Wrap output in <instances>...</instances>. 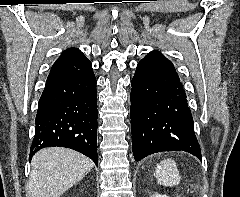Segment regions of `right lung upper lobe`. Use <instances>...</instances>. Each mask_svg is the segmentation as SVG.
I'll use <instances>...</instances> for the list:
<instances>
[{
	"label": "right lung upper lobe",
	"instance_id": "right-lung-upper-lobe-1",
	"mask_svg": "<svg viewBox=\"0 0 240 197\" xmlns=\"http://www.w3.org/2000/svg\"><path fill=\"white\" fill-rule=\"evenodd\" d=\"M91 65V62L77 48L65 50L53 64L50 72L81 69Z\"/></svg>",
	"mask_w": 240,
	"mask_h": 197
}]
</instances>
